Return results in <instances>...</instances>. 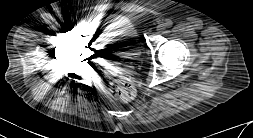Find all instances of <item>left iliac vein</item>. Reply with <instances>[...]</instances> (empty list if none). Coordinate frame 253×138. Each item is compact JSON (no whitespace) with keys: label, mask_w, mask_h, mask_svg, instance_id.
<instances>
[{"label":"left iliac vein","mask_w":253,"mask_h":138,"mask_svg":"<svg viewBox=\"0 0 253 138\" xmlns=\"http://www.w3.org/2000/svg\"><path fill=\"white\" fill-rule=\"evenodd\" d=\"M163 25H160L159 27H158V30H162L163 29Z\"/></svg>","instance_id":"4c4485c4"}]
</instances>
